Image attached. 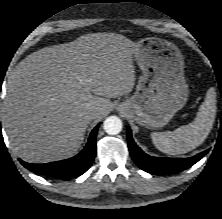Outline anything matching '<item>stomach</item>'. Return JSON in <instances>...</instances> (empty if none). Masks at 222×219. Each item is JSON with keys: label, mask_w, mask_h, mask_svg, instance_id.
<instances>
[{"label": "stomach", "mask_w": 222, "mask_h": 219, "mask_svg": "<svg viewBox=\"0 0 222 219\" xmlns=\"http://www.w3.org/2000/svg\"><path fill=\"white\" fill-rule=\"evenodd\" d=\"M134 57L142 76L134 95L118 110L140 125L162 127L188 100L183 56L172 42L149 37L136 43Z\"/></svg>", "instance_id": "0dacf381"}]
</instances>
